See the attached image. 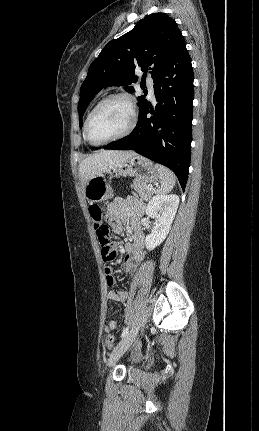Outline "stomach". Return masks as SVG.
<instances>
[{
    "label": "stomach",
    "instance_id": "stomach-1",
    "mask_svg": "<svg viewBox=\"0 0 259 431\" xmlns=\"http://www.w3.org/2000/svg\"><path fill=\"white\" fill-rule=\"evenodd\" d=\"M112 173L115 176H135L146 184L155 183L159 178L153 162L137 154L112 170ZM84 196L89 202H100L112 198L113 190L103 175L96 176L86 183Z\"/></svg>",
    "mask_w": 259,
    "mask_h": 431
}]
</instances>
